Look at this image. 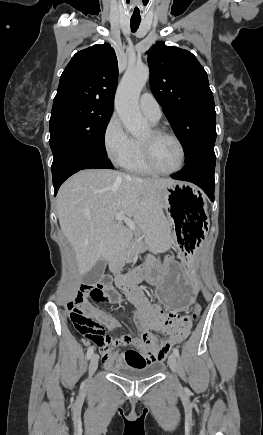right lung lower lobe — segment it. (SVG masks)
<instances>
[{
	"instance_id": "obj_1",
	"label": "right lung lower lobe",
	"mask_w": 263,
	"mask_h": 435,
	"mask_svg": "<svg viewBox=\"0 0 263 435\" xmlns=\"http://www.w3.org/2000/svg\"><path fill=\"white\" fill-rule=\"evenodd\" d=\"M109 168L113 165L107 156L99 155L82 149H67L52 163L54 195L60 185L72 174L82 169Z\"/></svg>"
}]
</instances>
